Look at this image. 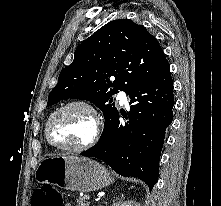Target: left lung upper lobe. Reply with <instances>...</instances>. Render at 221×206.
I'll return each mask as SVG.
<instances>
[{
    "label": "left lung upper lobe",
    "mask_w": 221,
    "mask_h": 206,
    "mask_svg": "<svg viewBox=\"0 0 221 206\" xmlns=\"http://www.w3.org/2000/svg\"><path fill=\"white\" fill-rule=\"evenodd\" d=\"M168 68L161 46L143 25L130 19L111 21L75 50L74 60L60 72L47 106L67 98L94 103L105 118L101 139L118 115L112 95L118 90L129 94ZM110 76L115 77L113 82Z\"/></svg>",
    "instance_id": "obj_1"
}]
</instances>
